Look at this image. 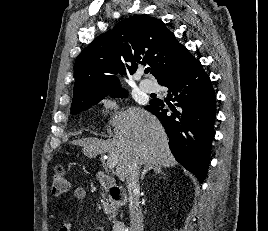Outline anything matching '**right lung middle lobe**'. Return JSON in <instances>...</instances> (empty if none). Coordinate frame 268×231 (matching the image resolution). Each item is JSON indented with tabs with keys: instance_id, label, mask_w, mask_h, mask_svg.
<instances>
[{
	"instance_id": "right-lung-middle-lobe-1",
	"label": "right lung middle lobe",
	"mask_w": 268,
	"mask_h": 231,
	"mask_svg": "<svg viewBox=\"0 0 268 231\" xmlns=\"http://www.w3.org/2000/svg\"><path fill=\"white\" fill-rule=\"evenodd\" d=\"M111 96L118 97V96H125V92L122 89L116 90L112 93H110ZM105 97V96H104ZM104 97L95 99V100H89V101H82L71 105V113L72 114H78L84 110H87L92 105L97 104L99 101H101Z\"/></svg>"
}]
</instances>
